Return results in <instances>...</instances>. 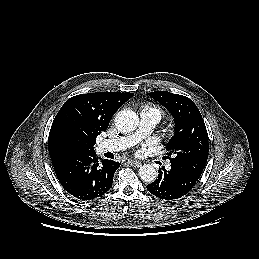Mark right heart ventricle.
I'll list each match as a JSON object with an SVG mask.
<instances>
[{
  "label": "right heart ventricle",
  "mask_w": 259,
  "mask_h": 259,
  "mask_svg": "<svg viewBox=\"0 0 259 259\" xmlns=\"http://www.w3.org/2000/svg\"><path fill=\"white\" fill-rule=\"evenodd\" d=\"M145 110H149V111L155 112L160 118L164 114L163 110L160 107H158L156 105H153V104L145 106Z\"/></svg>",
  "instance_id": "obj_1"
}]
</instances>
